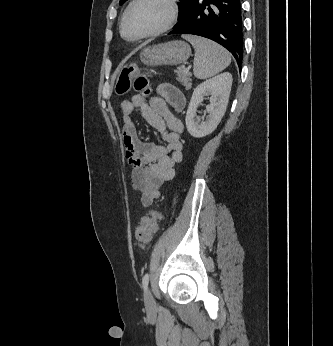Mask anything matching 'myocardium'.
<instances>
[{
    "label": "myocardium",
    "instance_id": "obj_1",
    "mask_svg": "<svg viewBox=\"0 0 333 346\" xmlns=\"http://www.w3.org/2000/svg\"><path fill=\"white\" fill-rule=\"evenodd\" d=\"M140 0H132L130 2V4L127 6L126 10L124 11V14L122 16L121 22H120V33L121 35L128 40H139V39H145V38H151V37H156L159 36L167 31H169L175 24L176 21L178 19V15H179V5H178V0H164L167 5L169 6V10H170V15L168 18V21L165 23V25H163L161 28L153 31V32H149V33H145V34H141L138 36H128L125 32V21L127 16L129 15L130 11L132 10V8L139 2Z\"/></svg>",
    "mask_w": 333,
    "mask_h": 346
}]
</instances>
